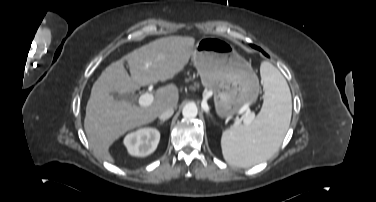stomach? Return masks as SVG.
Returning a JSON list of instances; mask_svg holds the SVG:
<instances>
[{"instance_id": "0dacf381", "label": "stomach", "mask_w": 376, "mask_h": 202, "mask_svg": "<svg viewBox=\"0 0 376 202\" xmlns=\"http://www.w3.org/2000/svg\"><path fill=\"white\" fill-rule=\"evenodd\" d=\"M191 56L202 85L213 91L220 118L234 115L243 104L257 100L258 78L229 42L217 37L201 38Z\"/></svg>"}]
</instances>
